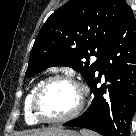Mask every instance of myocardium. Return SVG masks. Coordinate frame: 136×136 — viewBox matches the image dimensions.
I'll return each instance as SVG.
<instances>
[{"mask_svg":"<svg viewBox=\"0 0 136 136\" xmlns=\"http://www.w3.org/2000/svg\"><path fill=\"white\" fill-rule=\"evenodd\" d=\"M54 81H64V82L71 84L77 91L78 100H77V104H76L75 108L67 115L62 116V117H58V118H48V117L43 116L40 113V111L38 109V102H39V98H40L42 92L44 91V89L46 88V86ZM85 95H86V89H85L84 85L81 82H79L77 79H75L73 76L66 75V74L51 75V76L47 77L46 79H44L37 86V88L32 96V99H31V105H30L31 111H32L33 116L39 122L49 123V124L65 123V122H68V121L76 118L80 114V112L82 111L83 106H84Z\"/></svg>","mask_w":136,"mask_h":136,"instance_id":"f54148a6","label":"myocardium"}]
</instances>
